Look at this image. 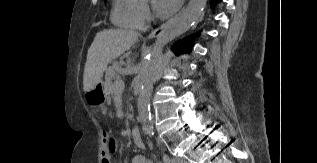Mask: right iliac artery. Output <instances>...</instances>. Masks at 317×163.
<instances>
[{"label":"right iliac artery","instance_id":"1","mask_svg":"<svg viewBox=\"0 0 317 163\" xmlns=\"http://www.w3.org/2000/svg\"><path fill=\"white\" fill-rule=\"evenodd\" d=\"M163 161H164V163H170V159L167 155H164Z\"/></svg>","mask_w":317,"mask_h":163}]
</instances>
